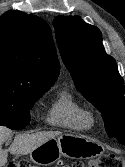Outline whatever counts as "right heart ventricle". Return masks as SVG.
<instances>
[{"label":"right heart ventricle","mask_w":125,"mask_h":167,"mask_svg":"<svg viewBox=\"0 0 125 167\" xmlns=\"http://www.w3.org/2000/svg\"><path fill=\"white\" fill-rule=\"evenodd\" d=\"M46 120L50 126L71 130H85L91 125L87 109L65 90L52 101Z\"/></svg>","instance_id":"1"}]
</instances>
